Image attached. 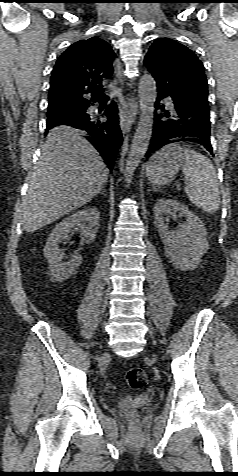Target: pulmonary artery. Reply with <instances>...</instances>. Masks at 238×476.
<instances>
[{"label":"pulmonary artery","mask_w":238,"mask_h":476,"mask_svg":"<svg viewBox=\"0 0 238 476\" xmlns=\"http://www.w3.org/2000/svg\"><path fill=\"white\" fill-rule=\"evenodd\" d=\"M166 103H167V105H168V106H170V107H172V106H173V104H172V102H171V101H167Z\"/></svg>","instance_id":"e3ab8cb5"}]
</instances>
